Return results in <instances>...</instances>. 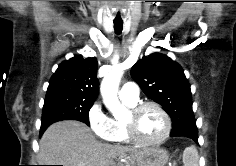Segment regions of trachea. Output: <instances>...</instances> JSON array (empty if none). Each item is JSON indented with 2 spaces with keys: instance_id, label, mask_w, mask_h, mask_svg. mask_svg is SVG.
Listing matches in <instances>:
<instances>
[{
  "instance_id": "1",
  "label": "trachea",
  "mask_w": 236,
  "mask_h": 166,
  "mask_svg": "<svg viewBox=\"0 0 236 166\" xmlns=\"http://www.w3.org/2000/svg\"><path fill=\"white\" fill-rule=\"evenodd\" d=\"M123 29V23H114V30L116 34H120Z\"/></svg>"
}]
</instances>
